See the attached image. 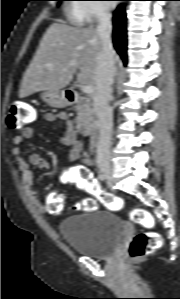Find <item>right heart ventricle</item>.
<instances>
[{"label":"right heart ventricle","instance_id":"e07e8e85","mask_svg":"<svg viewBox=\"0 0 180 299\" xmlns=\"http://www.w3.org/2000/svg\"><path fill=\"white\" fill-rule=\"evenodd\" d=\"M83 6L72 4L68 9V17L73 24L82 25L86 18L82 12Z\"/></svg>","mask_w":180,"mask_h":299}]
</instances>
